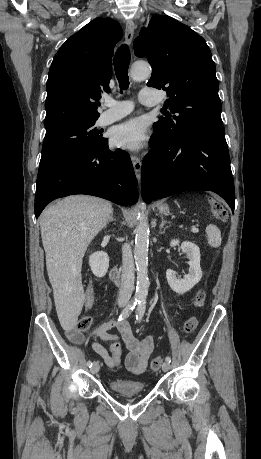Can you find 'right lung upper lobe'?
I'll return each mask as SVG.
<instances>
[{"instance_id": "obj_1", "label": "right lung upper lobe", "mask_w": 261, "mask_h": 459, "mask_svg": "<svg viewBox=\"0 0 261 459\" xmlns=\"http://www.w3.org/2000/svg\"><path fill=\"white\" fill-rule=\"evenodd\" d=\"M121 37L117 22L97 18L61 46L47 80L45 127L98 119L97 101L110 91L113 50Z\"/></svg>"}]
</instances>
